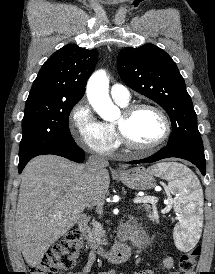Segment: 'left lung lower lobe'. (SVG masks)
Wrapping results in <instances>:
<instances>
[{
	"instance_id": "1",
	"label": "left lung lower lobe",
	"mask_w": 215,
	"mask_h": 274,
	"mask_svg": "<svg viewBox=\"0 0 215 274\" xmlns=\"http://www.w3.org/2000/svg\"><path fill=\"white\" fill-rule=\"evenodd\" d=\"M176 157L190 161L194 165H196L203 175L206 174V160L204 156V149L186 147V146H171L167 145L166 147L159 150L157 153L152 156L141 159L130 161V164H139V163H151L156 162L158 160Z\"/></svg>"
}]
</instances>
